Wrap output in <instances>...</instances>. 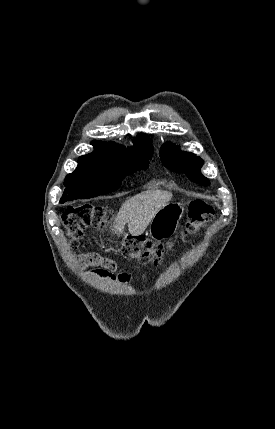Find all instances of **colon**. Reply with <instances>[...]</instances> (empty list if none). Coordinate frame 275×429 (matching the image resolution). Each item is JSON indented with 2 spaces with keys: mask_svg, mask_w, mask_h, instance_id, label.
I'll list each match as a JSON object with an SVG mask.
<instances>
[{
  "mask_svg": "<svg viewBox=\"0 0 275 429\" xmlns=\"http://www.w3.org/2000/svg\"><path fill=\"white\" fill-rule=\"evenodd\" d=\"M213 216L214 210L211 206L202 201H193L189 205L188 220L179 239L184 240L189 236L197 235L212 221ZM62 222L68 236L76 243L87 228H96L100 233H105L109 228L110 216L105 207L80 204L69 206L62 215ZM174 244V242L166 245L152 243L142 238L127 235L122 240L121 252L129 260L157 266L163 256L172 250ZM83 259L92 265H102L109 272L115 269L112 261L97 254H87ZM122 274L117 276L121 277Z\"/></svg>",
  "mask_w": 275,
  "mask_h": 429,
  "instance_id": "colon-1",
  "label": "colon"
}]
</instances>
